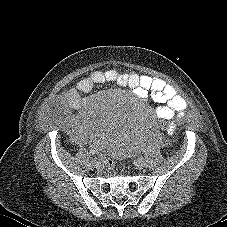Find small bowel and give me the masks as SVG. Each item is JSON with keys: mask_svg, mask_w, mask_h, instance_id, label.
<instances>
[{"mask_svg": "<svg viewBox=\"0 0 227 227\" xmlns=\"http://www.w3.org/2000/svg\"><path fill=\"white\" fill-rule=\"evenodd\" d=\"M105 83L115 84L121 88H128L139 99H145L151 96L155 102L160 104L155 108L154 115L161 121L167 118L174 121L182 115L186 107L183 97L178 94L171 84L161 78L139 75L133 72L119 73L112 69L94 71L78 80L74 86L68 88L58 97L59 101L63 104L77 111L75 115L67 114L63 116L60 122V127L77 144H84L92 140L89 134L92 130L85 114L88 101L83 98V95L90 92L95 86ZM165 131L170 136L175 132L173 129ZM98 143L99 141L97 145Z\"/></svg>", "mask_w": 227, "mask_h": 227, "instance_id": "small-bowel-1", "label": "small bowel"}]
</instances>
